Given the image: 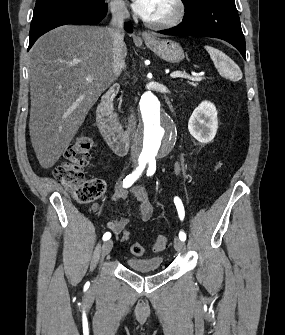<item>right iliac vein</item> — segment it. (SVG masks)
Here are the masks:
<instances>
[{
	"label": "right iliac vein",
	"instance_id": "right-iliac-vein-1",
	"mask_svg": "<svg viewBox=\"0 0 285 335\" xmlns=\"http://www.w3.org/2000/svg\"><path fill=\"white\" fill-rule=\"evenodd\" d=\"M112 246H113L112 240L104 242L101 249V256L104 257L107 254H109L111 252Z\"/></svg>",
	"mask_w": 285,
	"mask_h": 335
}]
</instances>
